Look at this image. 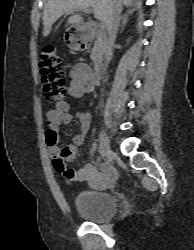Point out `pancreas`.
I'll return each instance as SVG.
<instances>
[{"mask_svg":"<svg viewBox=\"0 0 194 250\" xmlns=\"http://www.w3.org/2000/svg\"><path fill=\"white\" fill-rule=\"evenodd\" d=\"M96 40L94 42V47L92 48L91 59L97 62L105 51L106 41L104 33L100 30L95 32Z\"/></svg>","mask_w":194,"mask_h":250,"instance_id":"obj_1","label":"pancreas"}]
</instances>
